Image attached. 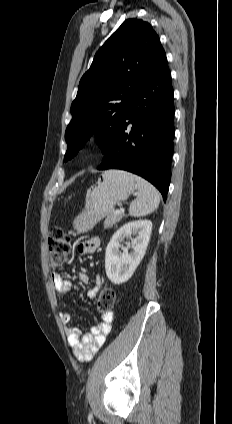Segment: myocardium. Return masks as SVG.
<instances>
[{
	"instance_id": "myocardium-1",
	"label": "myocardium",
	"mask_w": 232,
	"mask_h": 424,
	"mask_svg": "<svg viewBox=\"0 0 232 424\" xmlns=\"http://www.w3.org/2000/svg\"><path fill=\"white\" fill-rule=\"evenodd\" d=\"M90 146H91V147L95 146V143H91V144H90Z\"/></svg>"
}]
</instances>
